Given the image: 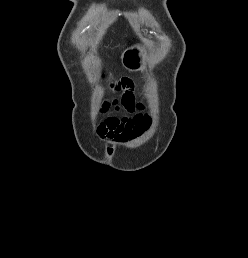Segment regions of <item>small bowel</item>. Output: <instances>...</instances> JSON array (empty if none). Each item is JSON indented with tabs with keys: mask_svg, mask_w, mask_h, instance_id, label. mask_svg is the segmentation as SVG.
<instances>
[{
	"mask_svg": "<svg viewBox=\"0 0 248 258\" xmlns=\"http://www.w3.org/2000/svg\"><path fill=\"white\" fill-rule=\"evenodd\" d=\"M115 87L122 91L120 105L128 112L134 113L136 111V113L130 117H115L120 120L117 125L110 126L107 122L102 129L108 138L114 141H123L146 130L150 125V118L142 112V104L136 103L133 86L129 80L122 78L117 81Z\"/></svg>",
	"mask_w": 248,
	"mask_h": 258,
	"instance_id": "obj_1",
	"label": "small bowel"
}]
</instances>
